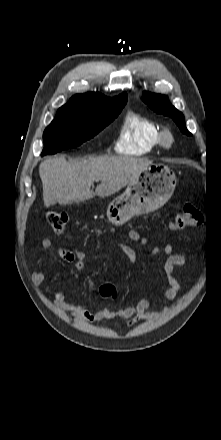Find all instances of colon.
Returning <instances> with one entry per match:
<instances>
[{
	"label": "colon",
	"instance_id": "colon-1",
	"mask_svg": "<svg viewBox=\"0 0 221 440\" xmlns=\"http://www.w3.org/2000/svg\"><path fill=\"white\" fill-rule=\"evenodd\" d=\"M47 220L56 233H64L70 221L66 212L50 211L47 214ZM203 222V214L193 205H183L173 222V229L180 230L188 227H198ZM116 293L114 286L106 284L101 288L103 296H113Z\"/></svg>",
	"mask_w": 221,
	"mask_h": 440
}]
</instances>
